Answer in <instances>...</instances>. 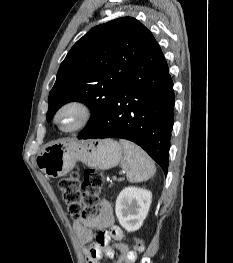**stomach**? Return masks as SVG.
<instances>
[{
    "mask_svg": "<svg viewBox=\"0 0 233 263\" xmlns=\"http://www.w3.org/2000/svg\"><path fill=\"white\" fill-rule=\"evenodd\" d=\"M122 147L114 140L104 139L78 143L63 140L45 145L37 156V166L49 177L58 178L72 170L77 161L107 170L122 159Z\"/></svg>",
    "mask_w": 233,
    "mask_h": 263,
    "instance_id": "1",
    "label": "stomach"
}]
</instances>
